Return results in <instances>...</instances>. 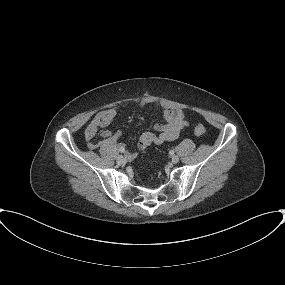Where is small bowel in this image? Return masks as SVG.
Returning a JSON list of instances; mask_svg holds the SVG:
<instances>
[{"label": "small bowel", "instance_id": "c3829d8e", "mask_svg": "<svg viewBox=\"0 0 285 285\" xmlns=\"http://www.w3.org/2000/svg\"><path fill=\"white\" fill-rule=\"evenodd\" d=\"M155 104L160 110V117L165 123H156L153 125V130L158 134L151 132L142 133L137 139V148L143 150L152 144H163L168 141L175 140L180 130L188 126V122L185 119L184 112L181 109H166L159 103H154L150 99L143 98L139 101L141 107ZM117 116L116 108H109L98 112L93 119L90 121L85 129V139L87 141V146L96 150L99 147H117L118 150L124 149L125 146L118 143V139L121 136V131L112 132L110 130H104L101 133L102 141L95 142L94 138L98 132L99 128H104L109 126ZM128 156H133V153H127Z\"/></svg>", "mask_w": 285, "mask_h": 285}]
</instances>
